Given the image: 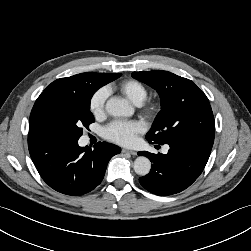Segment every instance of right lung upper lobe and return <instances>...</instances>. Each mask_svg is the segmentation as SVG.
I'll return each mask as SVG.
<instances>
[{"label":"right lung upper lobe","mask_w":251,"mask_h":251,"mask_svg":"<svg viewBox=\"0 0 251 251\" xmlns=\"http://www.w3.org/2000/svg\"><path fill=\"white\" fill-rule=\"evenodd\" d=\"M86 73L77 74L71 77L57 79L56 81L52 82L41 94H48V93H66L70 91H74L77 89L78 85L84 78ZM29 133H34L29 128Z\"/></svg>","instance_id":"cb5924a9"}]
</instances>
